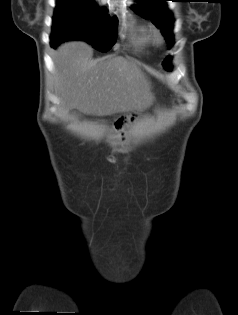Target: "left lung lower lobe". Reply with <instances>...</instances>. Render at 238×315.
<instances>
[{"label":"left lung lower lobe","instance_id":"1","mask_svg":"<svg viewBox=\"0 0 238 315\" xmlns=\"http://www.w3.org/2000/svg\"><path fill=\"white\" fill-rule=\"evenodd\" d=\"M173 45V39L168 42V48L170 49Z\"/></svg>","mask_w":238,"mask_h":315}]
</instances>
